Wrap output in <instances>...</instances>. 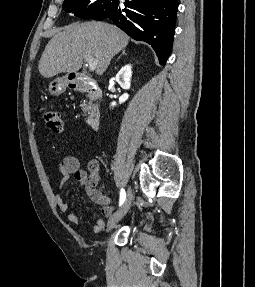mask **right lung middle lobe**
Returning a JSON list of instances; mask_svg holds the SVG:
<instances>
[{
	"mask_svg": "<svg viewBox=\"0 0 255 287\" xmlns=\"http://www.w3.org/2000/svg\"><path fill=\"white\" fill-rule=\"evenodd\" d=\"M119 0H64L63 9L83 19L102 20L114 12Z\"/></svg>",
	"mask_w": 255,
	"mask_h": 287,
	"instance_id": "obj_1",
	"label": "right lung middle lobe"
}]
</instances>
